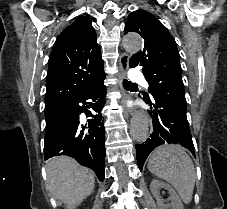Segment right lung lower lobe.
Returning a JSON list of instances; mask_svg holds the SVG:
<instances>
[{
  "instance_id": "1",
  "label": "right lung lower lobe",
  "mask_w": 227,
  "mask_h": 209,
  "mask_svg": "<svg viewBox=\"0 0 227 209\" xmlns=\"http://www.w3.org/2000/svg\"><path fill=\"white\" fill-rule=\"evenodd\" d=\"M104 79L105 75L94 80L82 93L60 105L56 114L46 122L44 141L45 160L61 155L73 157L81 165L92 169L100 181L104 180L105 172V129L101 124V110L105 103L102 96ZM97 98L96 104H90L98 114H89L85 107L88 104L86 100L95 101ZM82 112L93 117L86 131V126L79 121Z\"/></svg>"
}]
</instances>
